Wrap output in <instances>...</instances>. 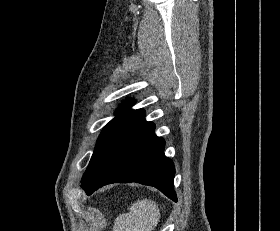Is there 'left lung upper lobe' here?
<instances>
[{
  "mask_svg": "<svg viewBox=\"0 0 280 231\" xmlns=\"http://www.w3.org/2000/svg\"><path fill=\"white\" fill-rule=\"evenodd\" d=\"M134 103H125L117 109L118 115L112 119L102 130L97 142L90 163L105 143L126 126L142 119L145 114L143 109L130 110ZM89 163V164H90Z\"/></svg>",
  "mask_w": 280,
  "mask_h": 231,
  "instance_id": "1",
  "label": "left lung upper lobe"
}]
</instances>
